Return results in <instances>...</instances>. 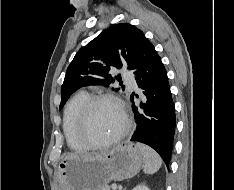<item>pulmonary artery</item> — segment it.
Instances as JSON below:
<instances>
[{"label": "pulmonary artery", "mask_w": 234, "mask_h": 190, "mask_svg": "<svg viewBox=\"0 0 234 190\" xmlns=\"http://www.w3.org/2000/svg\"><path fill=\"white\" fill-rule=\"evenodd\" d=\"M125 79H126V81H127V84H128L131 88H136V83H135V81H134L131 77L125 76Z\"/></svg>", "instance_id": "e3ab8cb5"}]
</instances>
